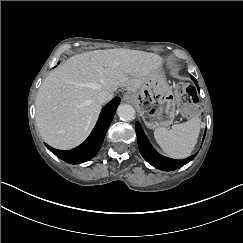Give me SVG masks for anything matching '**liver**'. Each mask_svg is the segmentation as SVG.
<instances>
[{"mask_svg":"<svg viewBox=\"0 0 243 243\" xmlns=\"http://www.w3.org/2000/svg\"><path fill=\"white\" fill-rule=\"evenodd\" d=\"M162 64L155 54L123 48L77 54L52 70L39 88L35 120L42 138L57 149H71L90 134L102 90L140 89Z\"/></svg>","mask_w":243,"mask_h":243,"instance_id":"obj_1","label":"liver"}]
</instances>
